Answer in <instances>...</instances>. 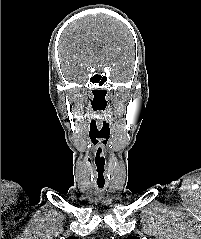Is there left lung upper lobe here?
Returning a JSON list of instances; mask_svg holds the SVG:
<instances>
[{
	"mask_svg": "<svg viewBox=\"0 0 201 239\" xmlns=\"http://www.w3.org/2000/svg\"><path fill=\"white\" fill-rule=\"evenodd\" d=\"M124 239H140V238L137 237V236H131V237H127V238H124Z\"/></svg>",
	"mask_w": 201,
	"mask_h": 239,
	"instance_id": "obj_1",
	"label": "left lung upper lobe"
}]
</instances>
